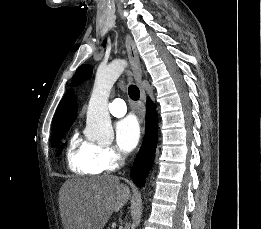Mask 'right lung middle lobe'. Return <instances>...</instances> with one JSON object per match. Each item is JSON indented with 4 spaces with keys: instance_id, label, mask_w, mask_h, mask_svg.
<instances>
[{
    "instance_id": "1",
    "label": "right lung middle lobe",
    "mask_w": 261,
    "mask_h": 229,
    "mask_svg": "<svg viewBox=\"0 0 261 229\" xmlns=\"http://www.w3.org/2000/svg\"><path fill=\"white\" fill-rule=\"evenodd\" d=\"M70 126L71 123L52 126V147L60 142V140L65 136ZM62 150L63 144L59 147L57 156L61 154Z\"/></svg>"
}]
</instances>
